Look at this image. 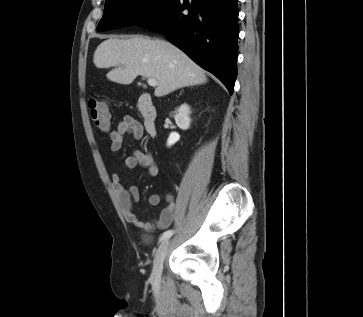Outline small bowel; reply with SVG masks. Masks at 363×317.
I'll return each mask as SVG.
<instances>
[{
	"label": "small bowel",
	"mask_w": 363,
	"mask_h": 317,
	"mask_svg": "<svg viewBox=\"0 0 363 317\" xmlns=\"http://www.w3.org/2000/svg\"><path fill=\"white\" fill-rule=\"evenodd\" d=\"M130 133L136 140H142L144 137L143 125L132 118L131 116H124L119 122L117 128L112 130L109 134L111 141V150L118 152L123 145L124 136ZM123 168L133 169L136 167H143L147 170L150 176H157L159 173L158 166L156 165L153 156L150 153L135 151L132 155L126 157L123 161ZM112 186L116 192L118 202L124 218L135 226H142L147 229H165L169 227L174 219V216L178 209V204L174 200L173 196L166 195V206L162 209L160 216L151 223H142L137 215L133 211V200L139 199V190L136 186L124 187L121 184L120 175L114 173L111 176ZM162 200L161 195L152 194L148 198V203L151 206L158 205Z\"/></svg>",
	"instance_id": "small-bowel-1"
}]
</instances>
